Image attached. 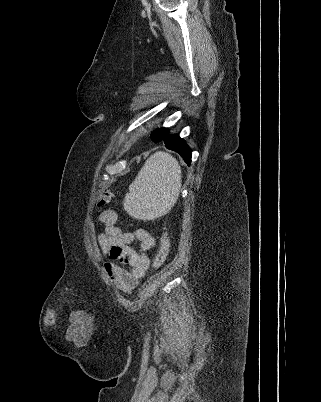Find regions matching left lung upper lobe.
Segmentation results:
<instances>
[{
    "instance_id": "5c2ea615",
    "label": "left lung upper lobe",
    "mask_w": 321,
    "mask_h": 402,
    "mask_svg": "<svg viewBox=\"0 0 321 402\" xmlns=\"http://www.w3.org/2000/svg\"><path fill=\"white\" fill-rule=\"evenodd\" d=\"M156 136H157V131H155V132H153V133L151 134V139L154 141V139L156 138Z\"/></svg>"
}]
</instances>
